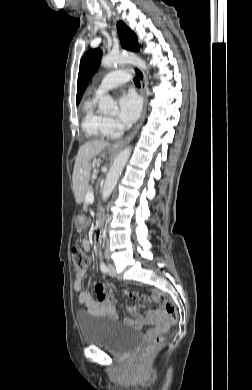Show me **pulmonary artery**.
Wrapping results in <instances>:
<instances>
[{
    "instance_id": "1",
    "label": "pulmonary artery",
    "mask_w": 252,
    "mask_h": 390,
    "mask_svg": "<svg viewBox=\"0 0 252 390\" xmlns=\"http://www.w3.org/2000/svg\"><path fill=\"white\" fill-rule=\"evenodd\" d=\"M131 79V73L125 70H115L108 73L98 84L96 92L98 94L116 88Z\"/></svg>"
}]
</instances>
